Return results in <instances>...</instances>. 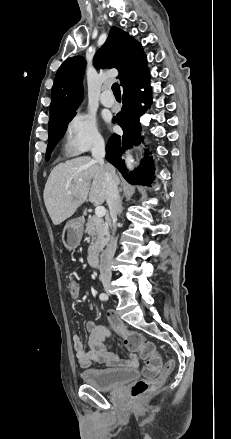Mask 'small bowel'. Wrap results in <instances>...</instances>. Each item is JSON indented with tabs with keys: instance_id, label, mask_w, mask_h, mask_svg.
<instances>
[{
	"instance_id": "small-bowel-1",
	"label": "small bowel",
	"mask_w": 231,
	"mask_h": 439,
	"mask_svg": "<svg viewBox=\"0 0 231 439\" xmlns=\"http://www.w3.org/2000/svg\"><path fill=\"white\" fill-rule=\"evenodd\" d=\"M86 329L88 349H85L80 334L75 333L72 336L73 348L80 367L89 368L95 363L122 367H137L139 365V358L135 351L130 354L129 358L121 359L107 348L106 341L111 333L115 332L123 337L124 333L128 331L116 314L113 312L107 314V325H97L89 321L86 324Z\"/></svg>"
}]
</instances>
